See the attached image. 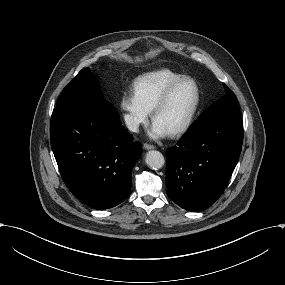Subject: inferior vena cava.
<instances>
[{
  "instance_id": "602c4592",
  "label": "inferior vena cava",
  "mask_w": 285,
  "mask_h": 285,
  "mask_svg": "<svg viewBox=\"0 0 285 285\" xmlns=\"http://www.w3.org/2000/svg\"><path fill=\"white\" fill-rule=\"evenodd\" d=\"M124 119L129 130L132 132H138L139 121L135 117L131 115H125Z\"/></svg>"
}]
</instances>
